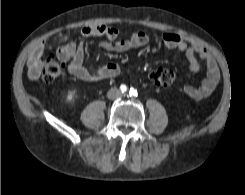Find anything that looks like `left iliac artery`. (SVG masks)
<instances>
[{
    "mask_svg": "<svg viewBox=\"0 0 245 195\" xmlns=\"http://www.w3.org/2000/svg\"><path fill=\"white\" fill-rule=\"evenodd\" d=\"M129 94H130V96H137V91L135 89L131 88Z\"/></svg>",
    "mask_w": 245,
    "mask_h": 195,
    "instance_id": "44dca946",
    "label": "left iliac artery"
}]
</instances>
